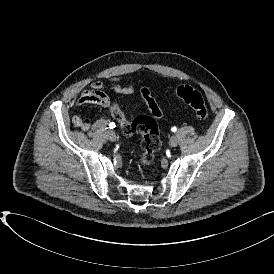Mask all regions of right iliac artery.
I'll return each mask as SVG.
<instances>
[{
    "mask_svg": "<svg viewBox=\"0 0 274 274\" xmlns=\"http://www.w3.org/2000/svg\"><path fill=\"white\" fill-rule=\"evenodd\" d=\"M115 126H116V125H115V123H114V122H111V123L109 124V128H110V129L115 128Z\"/></svg>",
    "mask_w": 274,
    "mask_h": 274,
    "instance_id": "obj_1",
    "label": "right iliac artery"
}]
</instances>
